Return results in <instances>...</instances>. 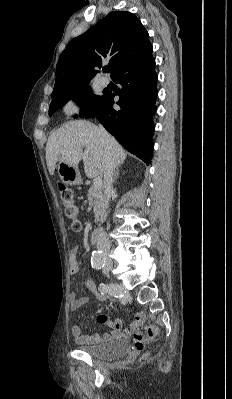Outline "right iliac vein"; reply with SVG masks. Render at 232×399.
<instances>
[{
    "mask_svg": "<svg viewBox=\"0 0 232 399\" xmlns=\"http://www.w3.org/2000/svg\"><path fill=\"white\" fill-rule=\"evenodd\" d=\"M104 270H111L113 272V264L112 261H105Z\"/></svg>",
    "mask_w": 232,
    "mask_h": 399,
    "instance_id": "right-iliac-vein-1",
    "label": "right iliac vein"
}]
</instances>
